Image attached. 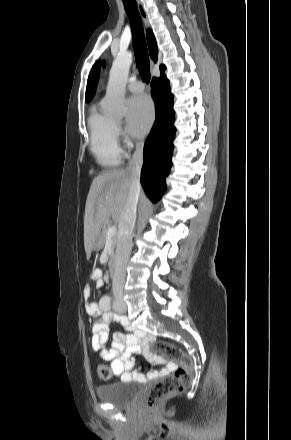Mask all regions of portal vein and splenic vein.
<instances>
[{
  "instance_id": "1",
  "label": "portal vein and splenic vein",
  "mask_w": 291,
  "mask_h": 440,
  "mask_svg": "<svg viewBox=\"0 0 291 440\" xmlns=\"http://www.w3.org/2000/svg\"><path fill=\"white\" fill-rule=\"evenodd\" d=\"M116 234V227L110 226L106 232L107 237H113Z\"/></svg>"
}]
</instances>
